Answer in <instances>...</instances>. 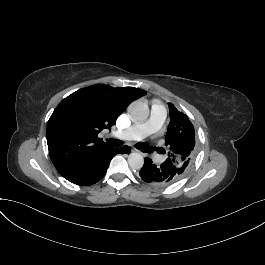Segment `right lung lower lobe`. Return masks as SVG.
Returning <instances> with one entry per match:
<instances>
[{"label":"right lung lower lobe","instance_id":"1","mask_svg":"<svg viewBox=\"0 0 265 265\" xmlns=\"http://www.w3.org/2000/svg\"><path fill=\"white\" fill-rule=\"evenodd\" d=\"M130 152L131 149L128 146L110 148L94 159L80 174L67 180L74 184L85 186L97 183L105 176L109 163L116 154H129Z\"/></svg>","mask_w":265,"mask_h":265}]
</instances>
